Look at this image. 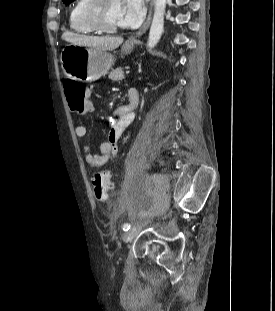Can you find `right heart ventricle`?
Segmentation results:
<instances>
[{
	"label": "right heart ventricle",
	"instance_id": "1",
	"mask_svg": "<svg viewBox=\"0 0 275 311\" xmlns=\"http://www.w3.org/2000/svg\"><path fill=\"white\" fill-rule=\"evenodd\" d=\"M89 0H75L70 9L68 22L72 31L80 34H93L96 32L83 18L82 11Z\"/></svg>",
	"mask_w": 275,
	"mask_h": 311
}]
</instances>
